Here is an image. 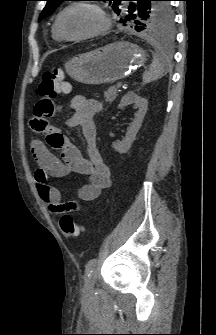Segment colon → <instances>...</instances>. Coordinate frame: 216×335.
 <instances>
[{"label":"colon","mask_w":216,"mask_h":335,"mask_svg":"<svg viewBox=\"0 0 216 335\" xmlns=\"http://www.w3.org/2000/svg\"><path fill=\"white\" fill-rule=\"evenodd\" d=\"M68 91H69V85L64 80V73L60 68L45 72L43 74L41 82L37 87V93L42 98H47L49 94H52L54 96V99H56V96L60 92H68ZM54 140L55 138H50L49 141L50 143H53ZM59 227L63 235L69 239L77 238L80 234H82L85 231V227L80 223H78L76 219L69 214H65L61 217Z\"/></svg>","instance_id":"colon-1"}]
</instances>
